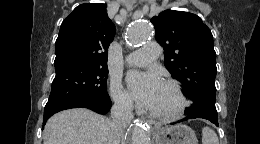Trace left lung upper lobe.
Segmentation results:
<instances>
[{"instance_id":"5c2ea615","label":"left lung upper lobe","mask_w":260,"mask_h":144,"mask_svg":"<svg viewBox=\"0 0 260 144\" xmlns=\"http://www.w3.org/2000/svg\"><path fill=\"white\" fill-rule=\"evenodd\" d=\"M151 22L164 48L167 70L182 82L184 95L193 101L186 112L216 111V53L209 28L199 16L183 11H163Z\"/></svg>"}]
</instances>
